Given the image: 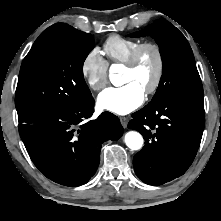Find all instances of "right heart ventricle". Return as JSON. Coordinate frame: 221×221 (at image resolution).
I'll list each match as a JSON object with an SVG mask.
<instances>
[{
  "instance_id": "right-heart-ventricle-1",
  "label": "right heart ventricle",
  "mask_w": 221,
  "mask_h": 221,
  "mask_svg": "<svg viewBox=\"0 0 221 221\" xmlns=\"http://www.w3.org/2000/svg\"><path fill=\"white\" fill-rule=\"evenodd\" d=\"M141 43L140 40L121 35L109 36L103 50L110 63H125L133 50Z\"/></svg>"
}]
</instances>
